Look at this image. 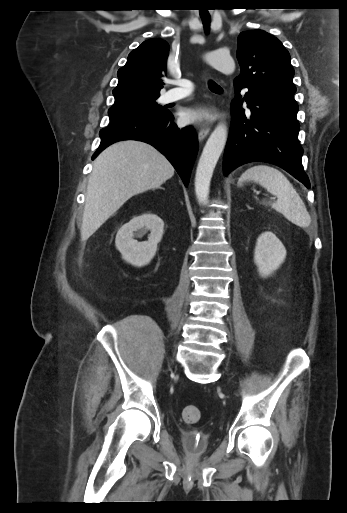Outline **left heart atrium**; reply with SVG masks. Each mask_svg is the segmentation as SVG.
<instances>
[{"mask_svg":"<svg viewBox=\"0 0 347 513\" xmlns=\"http://www.w3.org/2000/svg\"><path fill=\"white\" fill-rule=\"evenodd\" d=\"M182 122L191 124L199 121L204 116V111L201 109H186L182 112Z\"/></svg>","mask_w":347,"mask_h":513,"instance_id":"39dd6f15","label":"left heart atrium"}]
</instances>
